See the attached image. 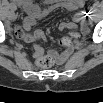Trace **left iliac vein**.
Returning <instances> with one entry per match:
<instances>
[{
    "instance_id": "1",
    "label": "left iliac vein",
    "mask_w": 103,
    "mask_h": 103,
    "mask_svg": "<svg viewBox=\"0 0 103 103\" xmlns=\"http://www.w3.org/2000/svg\"><path fill=\"white\" fill-rule=\"evenodd\" d=\"M89 23H92V19H89Z\"/></svg>"
}]
</instances>
